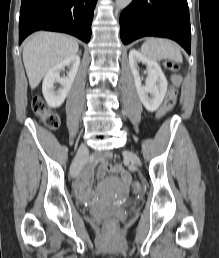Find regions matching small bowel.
<instances>
[{"mask_svg": "<svg viewBox=\"0 0 219 258\" xmlns=\"http://www.w3.org/2000/svg\"><path fill=\"white\" fill-rule=\"evenodd\" d=\"M171 85H182V80L180 76L174 75L171 77ZM109 154H105L103 156H96L93 158V162L99 166L98 175L103 177L110 167L114 166L113 162H107L106 159L109 158ZM124 167H114L113 171L117 172V175L120 176L121 184H129L132 178V175L128 173V171H124ZM93 179L92 171H87L80 177L77 183V191L82 198L89 197L88 187L91 184Z\"/></svg>", "mask_w": 219, "mask_h": 258, "instance_id": "small-bowel-1", "label": "small bowel"}]
</instances>
